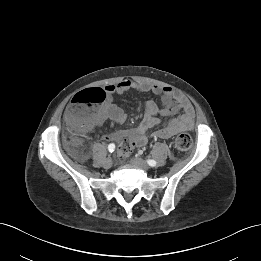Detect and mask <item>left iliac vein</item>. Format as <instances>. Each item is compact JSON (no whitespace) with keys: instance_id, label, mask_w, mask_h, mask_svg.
<instances>
[{"instance_id":"4c4485c4","label":"left iliac vein","mask_w":261,"mask_h":261,"mask_svg":"<svg viewBox=\"0 0 261 261\" xmlns=\"http://www.w3.org/2000/svg\"><path fill=\"white\" fill-rule=\"evenodd\" d=\"M130 163L144 171H148L150 169L149 165L141 158H131Z\"/></svg>"}]
</instances>
